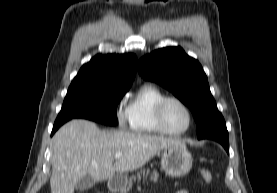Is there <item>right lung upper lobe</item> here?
Instances as JSON below:
<instances>
[{"label":"right lung upper lobe","instance_id":"cb5924a9","mask_svg":"<svg viewBox=\"0 0 277 193\" xmlns=\"http://www.w3.org/2000/svg\"><path fill=\"white\" fill-rule=\"evenodd\" d=\"M136 66L134 54H98L81 67L69 89L127 92L134 80Z\"/></svg>","mask_w":277,"mask_h":193}]
</instances>
